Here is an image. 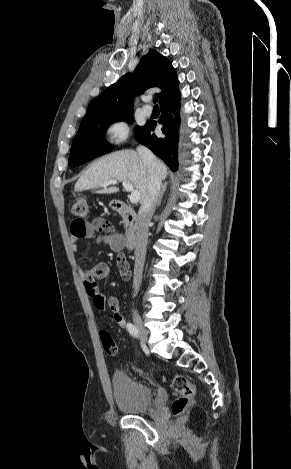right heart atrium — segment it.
<instances>
[{
	"instance_id": "obj_1",
	"label": "right heart atrium",
	"mask_w": 291,
	"mask_h": 469,
	"mask_svg": "<svg viewBox=\"0 0 291 469\" xmlns=\"http://www.w3.org/2000/svg\"><path fill=\"white\" fill-rule=\"evenodd\" d=\"M129 135V126L124 120H115L109 123L105 129L106 141L109 145L122 144Z\"/></svg>"
}]
</instances>
